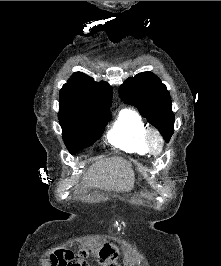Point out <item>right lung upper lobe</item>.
Masks as SVG:
<instances>
[{
	"instance_id": "1",
	"label": "right lung upper lobe",
	"mask_w": 221,
	"mask_h": 266,
	"mask_svg": "<svg viewBox=\"0 0 221 266\" xmlns=\"http://www.w3.org/2000/svg\"><path fill=\"white\" fill-rule=\"evenodd\" d=\"M113 91L105 81L95 82L94 79L81 72L73 76L60 90V104L82 115H111Z\"/></svg>"
}]
</instances>
